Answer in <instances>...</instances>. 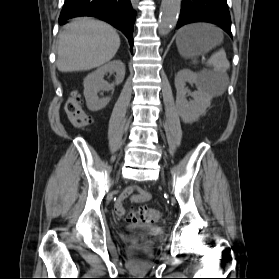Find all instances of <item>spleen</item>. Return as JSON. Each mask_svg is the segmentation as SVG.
Here are the masks:
<instances>
[{"mask_svg": "<svg viewBox=\"0 0 279 279\" xmlns=\"http://www.w3.org/2000/svg\"><path fill=\"white\" fill-rule=\"evenodd\" d=\"M195 62L196 61H194V63ZM207 64L213 66L214 71L220 77L219 81L207 84L208 91L213 96H220L225 92L227 88L228 76L226 74V71L230 67L224 49H220L214 54H212L209 60L207 61Z\"/></svg>", "mask_w": 279, "mask_h": 279, "instance_id": "1", "label": "spleen"}]
</instances>
